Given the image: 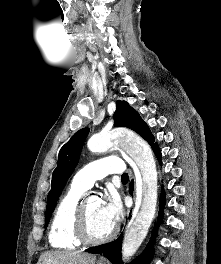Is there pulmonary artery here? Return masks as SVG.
Instances as JSON below:
<instances>
[{
    "mask_svg": "<svg viewBox=\"0 0 221 264\" xmlns=\"http://www.w3.org/2000/svg\"><path fill=\"white\" fill-rule=\"evenodd\" d=\"M123 171L124 166L120 158L106 157L93 161L78 170L73 177V182L87 190L92 187L96 180L112 173L122 174Z\"/></svg>",
    "mask_w": 221,
    "mask_h": 264,
    "instance_id": "obj_1",
    "label": "pulmonary artery"
}]
</instances>
